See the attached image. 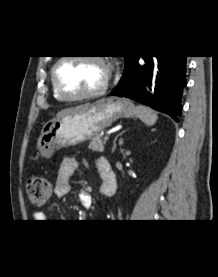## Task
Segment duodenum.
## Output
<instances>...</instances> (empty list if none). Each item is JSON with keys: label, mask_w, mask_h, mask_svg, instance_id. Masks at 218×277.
<instances>
[{"label": "duodenum", "mask_w": 218, "mask_h": 277, "mask_svg": "<svg viewBox=\"0 0 218 277\" xmlns=\"http://www.w3.org/2000/svg\"><path fill=\"white\" fill-rule=\"evenodd\" d=\"M98 167H99V170L101 171V178H102L103 185L107 184L109 181L115 180L113 172L110 167V163L108 162V160L103 159V158L99 159ZM101 188H102V184H101ZM103 190H104V188H103ZM115 191H116V182H115ZM115 191H114V193H115ZM113 194L106 195V196H112Z\"/></svg>", "instance_id": "obj_1"}]
</instances>
